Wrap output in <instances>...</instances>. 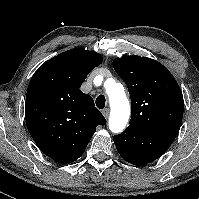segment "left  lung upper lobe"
Masks as SVG:
<instances>
[{
	"mask_svg": "<svg viewBox=\"0 0 199 199\" xmlns=\"http://www.w3.org/2000/svg\"><path fill=\"white\" fill-rule=\"evenodd\" d=\"M113 67L130 93L129 126L173 142L181 126L184 101L169 70L153 59L136 55L114 59Z\"/></svg>",
	"mask_w": 199,
	"mask_h": 199,
	"instance_id": "5c2ea615",
	"label": "left lung upper lobe"
}]
</instances>
